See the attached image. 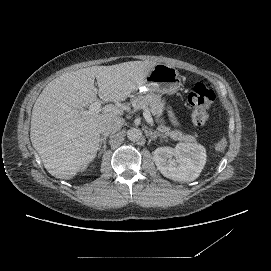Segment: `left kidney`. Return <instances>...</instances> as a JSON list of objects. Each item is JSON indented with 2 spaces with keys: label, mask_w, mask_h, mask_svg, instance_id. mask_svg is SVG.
<instances>
[{
  "label": "left kidney",
  "mask_w": 271,
  "mask_h": 271,
  "mask_svg": "<svg viewBox=\"0 0 271 271\" xmlns=\"http://www.w3.org/2000/svg\"><path fill=\"white\" fill-rule=\"evenodd\" d=\"M153 160L164 177L188 183L202 171L206 151L202 145L179 143L175 147H158L153 152Z\"/></svg>",
  "instance_id": "1"
}]
</instances>
